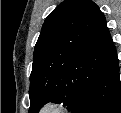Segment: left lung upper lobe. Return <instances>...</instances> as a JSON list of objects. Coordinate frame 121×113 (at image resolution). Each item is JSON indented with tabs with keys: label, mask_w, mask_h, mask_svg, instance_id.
I'll use <instances>...</instances> for the list:
<instances>
[{
	"label": "left lung upper lobe",
	"mask_w": 121,
	"mask_h": 113,
	"mask_svg": "<svg viewBox=\"0 0 121 113\" xmlns=\"http://www.w3.org/2000/svg\"><path fill=\"white\" fill-rule=\"evenodd\" d=\"M115 46L91 0H65L46 18L34 49L30 113L47 102L75 103L104 68Z\"/></svg>",
	"instance_id": "left-lung-upper-lobe-1"
}]
</instances>
